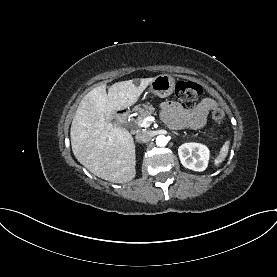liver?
Wrapping results in <instances>:
<instances>
[{
    "mask_svg": "<svg viewBox=\"0 0 277 277\" xmlns=\"http://www.w3.org/2000/svg\"><path fill=\"white\" fill-rule=\"evenodd\" d=\"M154 78L113 84L106 92L100 85L86 94L74 115L71 146L76 159L94 175L113 182L126 183L136 175L135 145L128 130L110 120L117 110L134 105Z\"/></svg>",
    "mask_w": 277,
    "mask_h": 277,
    "instance_id": "obj_1",
    "label": "liver"
}]
</instances>
